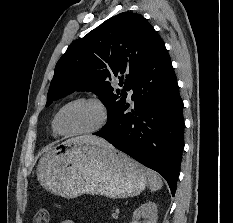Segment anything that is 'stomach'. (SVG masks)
Wrapping results in <instances>:
<instances>
[{
	"label": "stomach",
	"mask_w": 233,
	"mask_h": 223,
	"mask_svg": "<svg viewBox=\"0 0 233 223\" xmlns=\"http://www.w3.org/2000/svg\"><path fill=\"white\" fill-rule=\"evenodd\" d=\"M146 167L104 145L62 141L43 153L37 179L50 193L79 197L84 193L105 197H134L147 187Z\"/></svg>",
	"instance_id": "stomach-1"
}]
</instances>
